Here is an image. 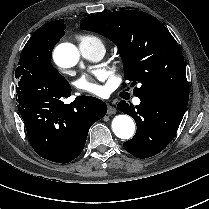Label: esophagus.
<instances>
[{"label": "esophagus", "mask_w": 209, "mask_h": 209, "mask_svg": "<svg viewBox=\"0 0 209 209\" xmlns=\"http://www.w3.org/2000/svg\"><path fill=\"white\" fill-rule=\"evenodd\" d=\"M117 112L116 108L114 106L108 105V110H107V114L108 115H113Z\"/></svg>", "instance_id": "esophagus-1"}]
</instances>
